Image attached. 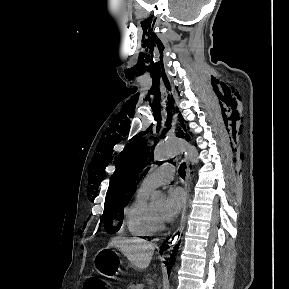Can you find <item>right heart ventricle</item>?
I'll return each mask as SVG.
<instances>
[{
	"label": "right heart ventricle",
	"instance_id": "obj_1",
	"mask_svg": "<svg viewBox=\"0 0 289 289\" xmlns=\"http://www.w3.org/2000/svg\"><path fill=\"white\" fill-rule=\"evenodd\" d=\"M148 195L149 191L138 189L124 212L127 230L136 237H151L157 231L149 215Z\"/></svg>",
	"mask_w": 289,
	"mask_h": 289
}]
</instances>
